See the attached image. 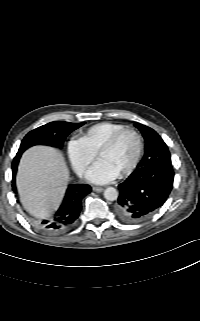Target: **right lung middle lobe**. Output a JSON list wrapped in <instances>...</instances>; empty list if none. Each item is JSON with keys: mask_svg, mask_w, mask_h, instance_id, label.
Returning <instances> with one entry per match:
<instances>
[{"mask_svg": "<svg viewBox=\"0 0 200 321\" xmlns=\"http://www.w3.org/2000/svg\"><path fill=\"white\" fill-rule=\"evenodd\" d=\"M84 123L54 121L30 131L22 140L17 154L34 145H48L62 149L66 137Z\"/></svg>", "mask_w": 200, "mask_h": 321, "instance_id": "1", "label": "right lung middle lobe"}]
</instances>
